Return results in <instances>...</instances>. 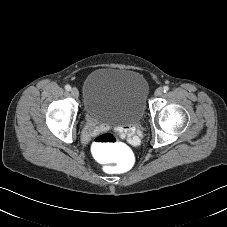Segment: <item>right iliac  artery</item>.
Wrapping results in <instances>:
<instances>
[{"label":"right iliac artery","instance_id":"right-iliac-artery-1","mask_svg":"<svg viewBox=\"0 0 227 227\" xmlns=\"http://www.w3.org/2000/svg\"><path fill=\"white\" fill-rule=\"evenodd\" d=\"M65 89H66L67 91H70V90H71L70 85H66V86H65Z\"/></svg>","mask_w":227,"mask_h":227}]
</instances>
